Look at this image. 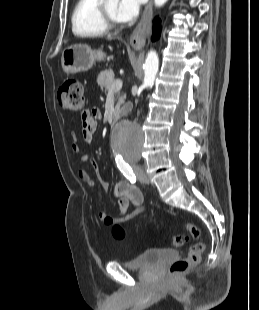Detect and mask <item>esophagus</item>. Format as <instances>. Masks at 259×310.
Segmentation results:
<instances>
[{"mask_svg":"<svg viewBox=\"0 0 259 310\" xmlns=\"http://www.w3.org/2000/svg\"><path fill=\"white\" fill-rule=\"evenodd\" d=\"M152 3V0H149L143 11L140 22L138 23L130 37V45L135 49H140L145 45L146 38L150 33Z\"/></svg>","mask_w":259,"mask_h":310,"instance_id":"esophagus-1","label":"esophagus"}]
</instances>
